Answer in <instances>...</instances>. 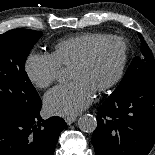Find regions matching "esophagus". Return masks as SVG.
<instances>
[{
  "label": "esophagus",
  "instance_id": "34e87169",
  "mask_svg": "<svg viewBox=\"0 0 155 155\" xmlns=\"http://www.w3.org/2000/svg\"><path fill=\"white\" fill-rule=\"evenodd\" d=\"M65 121L68 125H71L72 123L76 121V117H67L65 118Z\"/></svg>",
  "mask_w": 155,
  "mask_h": 155
}]
</instances>
